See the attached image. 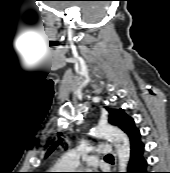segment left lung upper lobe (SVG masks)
<instances>
[{
  "label": "left lung upper lobe",
  "instance_id": "obj_1",
  "mask_svg": "<svg viewBox=\"0 0 170 173\" xmlns=\"http://www.w3.org/2000/svg\"><path fill=\"white\" fill-rule=\"evenodd\" d=\"M106 109L109 112V122L121 128L128 135L130 139L131 148L135 146L137 143L141 142L140 131L136 128L133 118L125 114L123 109L119 110H112L109 108ZM60 142L61 140L58 143ZM58 143H55L48 150L47 155H49L54 150V148L58 145Z\"/></svg>",
  "mask_w": 170,
  "mask_h": 173
}]
</instances>
